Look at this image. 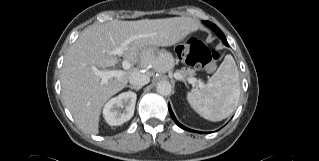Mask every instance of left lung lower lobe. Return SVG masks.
<instances>
[{"label": "left lung lower lobe", "mask_w": 319, "mask_h": 161, "mask_svg": "<svg viewBox=\"0 0 319 161\" xmlns=\"http://www.w3.org/2000/svg\"><path fill=\"white\" fill-rule=\"evenodd\" d=\"M206 22H209V21H205L204 23L207 24ZM207 25H208V24H207ZM209 27H210L214 32L219 29V28H218L215 24H213V23H212V25L209 26ZM225 45L228 46V43H225ZM168 108H169V112H170V114H171V116H172L174 122H175L180 128L185 129V130H188V131H191V132L194 131V130H192V129H189V128L183 126L182 124H180V123L178 122V120L176 119V117H175L174 114H173V111H172V109H171L170 104L168 105ZM194 132L203 133V132H199V131H194Z\"/></svg>", "instance_id": "1"}]
</instances>
